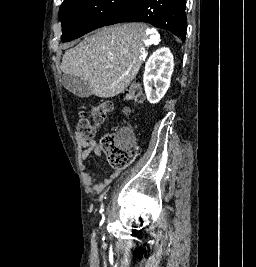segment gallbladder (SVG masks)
Instances as JSON below:
<instances>
[{
	"label": "gallbladder",
	"mask_w": 256,
	"mask_h": 267,
	"mask_svg": "<svg viewBox=\"0 0 256 267\" xmlns=\"http://www.w3.org/2000/svg\"><path fill=\"white\" fill-rule=\"evenodd\" d=\"M61 84L72 92L78 98H89L92 96V88L87 80H81L78 76H70V74H63Z\"/></svg>",
	"instance_id": "bac80fb5"
}]
</instances>
